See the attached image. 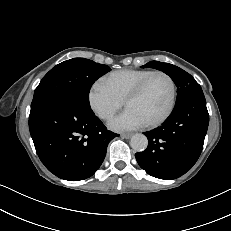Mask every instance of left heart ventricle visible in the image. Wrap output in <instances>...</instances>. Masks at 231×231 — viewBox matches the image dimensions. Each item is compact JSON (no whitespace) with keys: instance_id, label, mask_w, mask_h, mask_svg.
Instances as JSON below:
<instances>
[{"instance_id":"1","label":"left heart ventricle","mask_w":231,"mask_h":231,"mask_svg":"<svg viewBox=\"0 0 231 231\" xmlns=\"http://www.w3.org/2000/svg\"><path fill=\"white\" fill-rule=\"evenodd\" d=\"M172 96L170 81L162 75L155 76L144 92L128 103L127 109L133 110L145 123L161 117L168 109Z\"/></svg>"}]
</instances>
